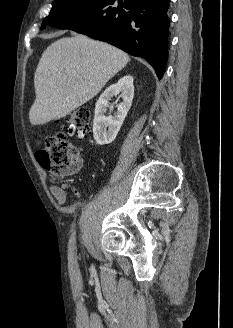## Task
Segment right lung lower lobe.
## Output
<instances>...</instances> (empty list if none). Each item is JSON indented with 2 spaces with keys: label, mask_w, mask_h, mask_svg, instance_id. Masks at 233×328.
<instances>
[{
  "label": "right lung lower lobe",
  "mask_w": 233,
  "mask_h": 328,
  "mask_svg": "<svg viewBox=\"0 0 233 328\" xmlns=\"http://www.w3.org/2000/svg\"><path fill=\"white\" fill-rule=\"evenodd\" d=\"M169 0H97L51 26L108 42L146 59L159 79L168 55Z\"/></svg>",
  "instance_id": "1"
}]
</instances>
